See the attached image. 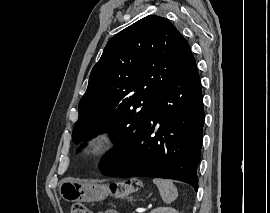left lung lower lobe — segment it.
I'll list each match as a JSON object with an SVG mask.
<instances>
[{
    "label": "left lung lower lobe",
    "mask_w": 270,
    "mask_h": 213,
    "mask_svg": "<svg viewBox=\"0 0 270 213\" xmlns=\"http://www.w3.org/2000/svg\"><path fill=\"white\" fill-rule=\"evenodd\" d=\"M159 128L154 137V125ZM204 109L196 63L179 74L157 98L152 114L132 137L116 143L99 169L110 177L181 180L198 190L197 166Z\"/></svg>",
    "instance_id": "0a47b994"
}]
</instances>
